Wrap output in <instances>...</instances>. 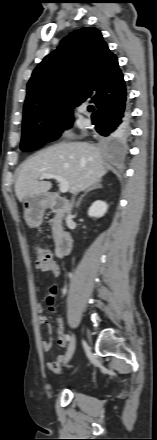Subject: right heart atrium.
Returning <instances> with one entry per match:
<instances>
[{"instance_id":"d8ad5b80","label":"right heart atrium","mask_w":157,"mask_h":440,"mask_svg":"<svg viewBox=\"0 0 157 440\" xmlns=\"http://www.w3.org/2000/svg\"><path fill=\"white\" fill-rule=\"evenodd\" d=\"M61 134H62L63 136H69V131H68V130H63V131L61 132Z\"/></svg>"}]
</instances>
